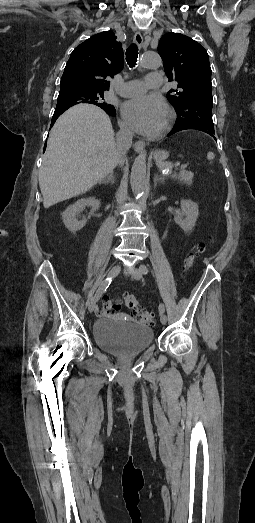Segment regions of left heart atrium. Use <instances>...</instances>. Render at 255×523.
<instances>
[{"instance_id": "obj_1", "label": "left heart atrium", "mask_w": 255, "mask_h": 523, "mask_svg": "<svg viewBox=\"0 0 255 523\" xmlns=\"http://www.w3.org/2000/svg\"><path fill=\"white\" fill-rule=\"evenodd\" d=\"M165 111V103L156 96H143L139 101L130 99L122 106L125 120L132 128L143 134L159 132Z\"/></svg>"}]
</instances>
